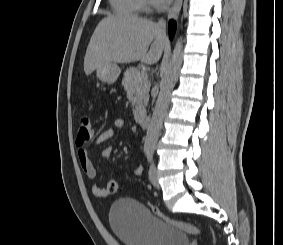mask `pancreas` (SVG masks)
Returning <instances> with one entry per match:
<instances>
[{"instance_id":"1","label":"pancreas","mask_w":283,"mask_h":245,"mask_svg":"<svg viewBox=\"0 0 283 245\" xmlns=\"http://www.w3.org/2000/svg\"><path fill=\"white\" fill-rule=\"evenodd\" d=\"M140 70L134 67L124 72L122 85L127 93V98L132 102L134 109L133 114L138 117L145 110L149 100L150 83L147 79H140Z\"/></svg>"}]
</instances>
